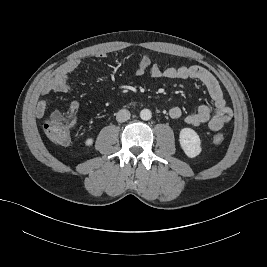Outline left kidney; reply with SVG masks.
Listing matches in <instances>:
<instances>
[{
  "instance_id": "5707ae66",
  "label": "left kidney",
  "mask_w": 267,
  "mask_h": 267,
  "mask_svg": "<svg viewBox=\"0 0 267 267\" xmlns=\"http://www.w3.org/2000/svg\"><path fill=\"white\" fill-rule=\"evenodd\" d=\"M180 145L189 158H194L201 153V140L191 128H183L179 135Z\"/></svg>"
}]
</instances>
